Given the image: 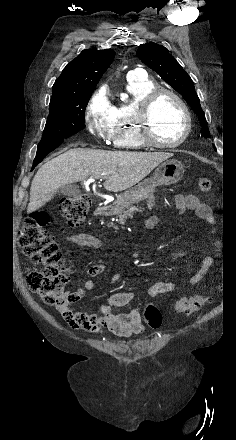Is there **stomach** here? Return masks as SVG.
I'll use <instances>...</instances> for the list:
<instances>
[{
  "label": "stomach",
  "instance_id": "1",
  "mask_svg": "<svg viewBox=\"0 0 236 440\" xmlns=\"http://www.w3.org/2000/svg\"><path fill=\"white\" fill-rule=\"evenodd\" d=\"M184 174L182 163L175 159L162 162L152 177L145 179L135 187L117 196L114 203V212H121L130 205L139 203L155 192L157 186L172 185L180 181Z\"/></svg>",
  "mask_w": 236,
  "mask_h": 440
}]
</instances>
